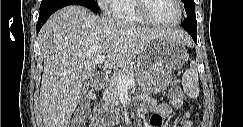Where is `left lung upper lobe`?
Returning a JSON list of instances; mask_svg holds the SVG:
<instances>
[{"instance_id": "5c2ea615", "label": "left lung upper lobe", "mask_w": 243, "mask_h": 127, "mask_svg": "<svg viewBox=\"0 0 243 127\" xmlns=\"http://www.w3.org/2000/svg\"><path fill=\"white\" fill-rule=\"evenodd\" d=\"M182 2L184 3L186 13L188 14L186 19H189V21L184 19L182 24L196 26L197 21L195 16L194 0H182Z\"/></svg>"}]
</instances>
